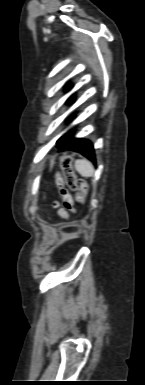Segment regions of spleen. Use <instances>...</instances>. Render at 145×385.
Wrapping results in <instances>:
<instances>
[{"label": "spleen", "instance_id": "obj_1", "mask_svg": "<svg viewBox=\"0 0 145 385\" xmlns=\"http://www.w3.org/2000/svg\"><path fill=\"white\" fill-rule=\"evenodd\" d=\"M75 169L83 177H91L94 174V167L86 159H78L75 161Z\"/></svg>", "mask_w": 145, "mask_h": 385}]
</instances>
